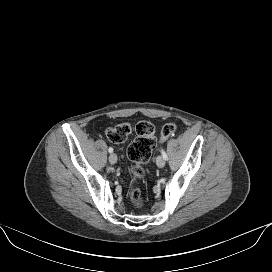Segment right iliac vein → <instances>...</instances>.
Returning <instances> with one entry per match:
<instances>
[{
    "instance_id": "obj_1",
    "label": "right iliac vein",
    "mask_w": 272,
    "mask_h": 272,
    "mask_svg": "<svg viewBox=\"0 0 272 272\" xmlns=\"http://www.w3.org/2000/svg\"><path fill=\"white\" fill-rule=\"evenodd\" d=\"M109 162L111 164H115L117 162V155L115 153L110 154V156H109Z\"/></svg>"
}]
</instances>
